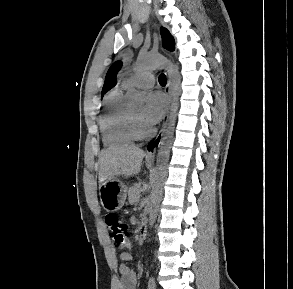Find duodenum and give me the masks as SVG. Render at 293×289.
<instances>
[{
	"label": "duodenum",
	"mask_w": 293,
	"mask_h": 289,
	"mask_svg": "<svg viewBox=\"0 0 293 289\" xmlns=\"http://www.w3.org/2000/svg\"><path fill=\"white\" fill-rule=\"evenodd\" d=\"M147 236V222L146 220H142L139 229H138V238L145 239Z\"/></svg>",
	"instance_id": "obj_1"
}]
</instances>
